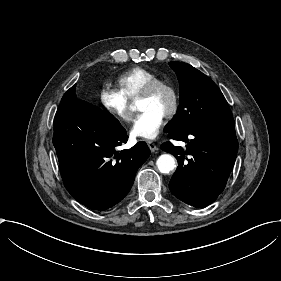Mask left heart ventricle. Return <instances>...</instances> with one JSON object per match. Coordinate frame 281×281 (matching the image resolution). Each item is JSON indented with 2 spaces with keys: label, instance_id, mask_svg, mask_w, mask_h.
<instances>
[{
  "label": "left heart ventricle",
  "instance_id": "obj_1",
  "mask_svg": "<svg viewBox=\"0 0 281 281\" xmlns=\"http://www.w3.org/2000/svg\"><path fill=\"white\" fill-rule=\"evenodd\" d=\"M170 105V97L166 90L160 89L156 95L150 99H139L138 110L152 111L164 118L165 112Z\"/></svg>",
  "mask_w": 281,
  "mask_h": 281
}]
</instances>
